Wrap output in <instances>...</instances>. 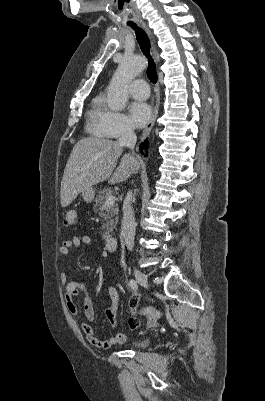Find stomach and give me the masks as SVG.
I'll list each match as a JSON object with an SVG mask.
<instances>
[{"label": "stomach", "instance_id": "0dacf381", "mask_svg": "<svg viewBox=\"0 0 265 401\" xmlns=\"http://www.w3.org/2000/svg\"><path fill=\"white\" fill-rule=\"evenodd\" d=\"M81 196H83V201H86V203H92L95 196V190L93 186H89V188H86V190H82Z\"/></svg>", "mask_w": 265, "mask_h": 401}]
</instances>
